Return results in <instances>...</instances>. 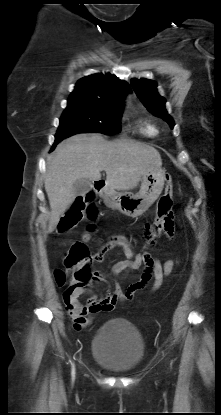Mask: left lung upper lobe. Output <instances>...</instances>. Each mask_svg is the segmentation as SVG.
<instances>
[{"label": "left lung upper lobe", "mask_w": 221, "mask_h": 415, "mask_svg": "<svg viewBox=\"0 0 221 415\" xmlns=\"http://www.w3.org/2000/svg\"><path fill=\"white\" fill-rule=\"evenodd\" d=\"M131 85L146 108L154 115L167 121L171 128L174 121L165 109V99L157 92V84L148 79H132Z\"/></svg>", "instance_id": "1"}]
</instances>
